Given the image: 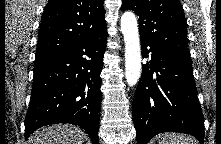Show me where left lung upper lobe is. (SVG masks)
<instances>
[{
    "mask_svg": "<svg viewBox=\"0 0 221 144\" xmlns=\"http://www.w3.org/2000/svg\"><path fill=\"white\" fill-rule=\"evenodd\" d=\"M121 10H133L139 16L140 40L190 56L179 0H123Z\"/></svg>",
    "mask_w": 221,
    "mask_h": 144,
    "instance_id": "left-lung-upper-lobe-1",
    "label": "left lung upper lobe"
}]
</instances>
